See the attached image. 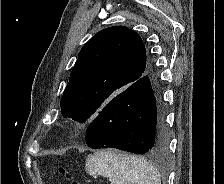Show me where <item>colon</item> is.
Segmentation results:
<instances>
[{
	"label": "colon",
	"mask_w": 224,
	"mask_h": 184,
	"mask_svg": "<svg viewBox=\"0 0 224 184\" xmlns=\"http://www.w3.org/2000/svg\"><path fill=\"white\" fill-rule=\"evenodd\" d=\"M59 172L66 177L69 184H81L77 179H75L72 175H70L68 171L63 167L59 168Z\"/></svg>",
	"instance_id": "obj_1"
}]
</instances>
